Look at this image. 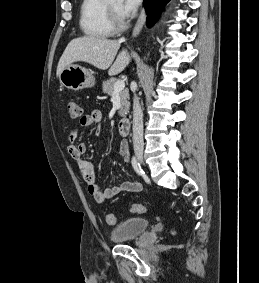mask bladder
<instances>
[{"label": "bladder", "mask_w": 259, "mask_h": 283, "mask_svg": "<svg viewBox=\"0 0 259 283\" xmlns=\"http://www.w3.org/2000/svg\"><path fill=\"white\" fill-rule=\"evenodd\" d=\"M149 226L150 223L145 218H128L113 228L111 236L116 242L130 240L145 233Z\"/></svg>", "instance_id": "bladder-1"}]
</instances>
